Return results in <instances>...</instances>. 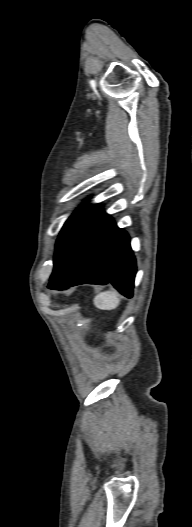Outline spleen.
<instances>
[{"label": "spleen", "mask_w": 192, "mask_h": 527, "mask_svg": "<svg viewBox=\"0 0 192 527\" xmlns=\"http://www.w3.org/2000/svg\"><path fill=\"white\" fill-rule=\"evenodd\" d=\"M93 302L98 309L111 310L119 305L120 299L117 292L105 291L96 295Z\"/></svg>", "instance_id": "obj_1"}]
</instances>
